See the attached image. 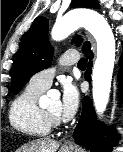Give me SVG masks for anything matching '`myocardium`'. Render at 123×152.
Masks as SVG:
<instances>
[{
	"mask_svg": "<svg viewBox=\"0 0 123 152\" xmlns=\"http://www.w3.org/2000/svg\"><path fill=\"white\" fill-rule=\"evenodd\" d=\"M43 112L51 127H59L62 124L59 116L50 113L46 109Z\"/></svg>",
	"mask_w": 123,
	"mask_h": 152,
	"instance_id": "f54148a6",
	"label": "myocardium"
}]
</instances>
